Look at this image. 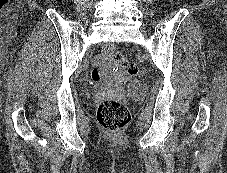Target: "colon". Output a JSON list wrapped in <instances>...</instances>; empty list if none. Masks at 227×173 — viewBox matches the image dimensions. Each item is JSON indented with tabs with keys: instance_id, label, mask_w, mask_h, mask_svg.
Wrapping results in <instances>:
<instances>
[{
	"instance_id": "5ec220e1",
	"label": "colon",
	"mask_w": 227,
	"mask_h": 173,
	"mask_svg": "<svg viewBox=\"0 0 227 173\" xmlns=\"http://www.w3.org/2000/svg\"><path fill=\"white\" fill-rule=\"evenodd\" d=\"M103 53L105 57L109 58L119 67L123 68L128 76L136 77L139 75L138 66L120 54L114 46H106ZM91 75L95 82H102L103 76L100 67H94ZM97 120L99 124L108 132L118 133L128 124L130 120V113L122 101L113 98H106L98 104Z\"/></svg>"
}]
</instances>
